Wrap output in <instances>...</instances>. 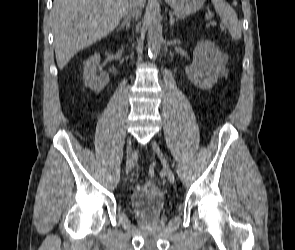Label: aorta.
<instances>
[{
  "label": "aorta",
  "instance_id": "1",
  "mask_svg": "<svg viewBox=\"0 0 295 250\" xmlns=\"http://www.w3.org/2000/svg\"><path fill=\"white\" fill-rule=\"evenodd\" d=\"M147 42L149 57L155 59L160 53L163 42L162 25L155 15L149 17Z\"/></svg>",
  "mask_w": 295,
  "mask_h": 250
}]
</instances>
